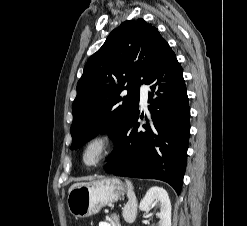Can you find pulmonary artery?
<instances>
[{"label":"pulmonary artery","mask_w":247,"mask_h":226,"mask_svg":"<svg viewBox=\"0 0 247 226\" xmlns=\"http://www.w3.org/2000/svg\"><path fill=\"white\" fill-rule=\"evenodd\" d=\"M140 99H141V104L145 107L147 105V99H148V88L146 85L140 86Z\"/></svg>","instance_id":"pulmonary-artery-1"}]
</instances>
